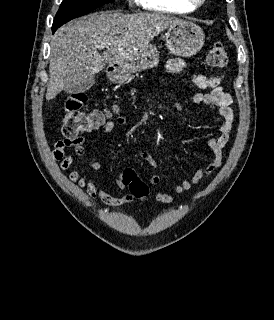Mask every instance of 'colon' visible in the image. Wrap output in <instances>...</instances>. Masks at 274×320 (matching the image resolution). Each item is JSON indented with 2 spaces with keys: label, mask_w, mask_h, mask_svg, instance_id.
I'll list each match as a JSON object with an SVG mask.
<instances>
[{
  "label": "colon",
  "mask_w": 274,
  "mask_h": 320,
  "mask_svg": "<svg viewBox=\"0 0 274 320\" xmlns=\"http://www.w3.org/2000/svg\"><path fill=\"white\" fill-rule=\"evenodd\" d=\"M207 63L217 69L224 68L228 63V54L221 44H213L208 49ZM86 96L80 92H75L63 102L61 106L62 134H87L92 132L90 125L95 120H108L110 114L102 111H85ZM57 157V156H56ZM120 181L129 187L131 195L135 198L147 196L148 187L141 180L133 169L120 172Z\"/></svg>",
  "instance_id": "5ec220e1"
}]
</instances>
